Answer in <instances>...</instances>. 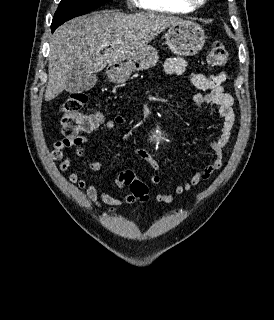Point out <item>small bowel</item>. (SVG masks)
Returning a JSON list of instances; mask_svg holds the SVG:
<instances>
[{
    "mask_svg": "<svg viewBox=\"0 0 274 320\" xmlns=\"http://www.w3.org/2000/svg\"><path fill=\"white\" fill-rule=\"evenodd\" d=\"M186 70V62L181 57H170L165 62V72L169 75H181ZM228 79L226 71H220L211 75H205L198 72L190 74L191 84L206 93H197L193 96V102L197 106L206 104H214L218 107L219 113L223 119L220 125V136L210 142L211 149L214 154L213 160L203 169L196 171L188 181H184L172 189L168 193H158L155 199L158 203L169 204L174 199L190 191L192 188L199 185L203 180L210 177L214 172L220 170L223 166L224 147L230 141L232 131L235 124V112L233 109L234 99L224 89V83ZM127 123L125 117L118 115L111 119H92L89 124L92 125L86 132L91 131H112L117 127L124 126ZM88 138L85 136H78L72 139H61L53 144L51 152V159L59 161V170L62 172L67 171L71 166V159L66 156L65 149L74 147L77 157L84 159L87 167L93 171H100L102 163L96 159H86L83 146L88 143ZM135 153L148 163V165L155 171L150 177V183L158 185L161 182V177L158 174L160 171L159 163L143 149H135ZM125 171V170H123ZM70 183L76 185L80 190L86 194L88 201L95 207L101 208L102 204L108 206V212H113L122 204H131L134 202L131 195L114 196L105 191L98 189V187L81 178L77 172L70 173L68 177ZM117 188H123L125 185L119 181V178L114 182Z\"/></svg>",
    "mask_w": 274,
    "mask_h": 320,
    "instance_id": "1",
    "label": "small bowel"
}]
</instances>
